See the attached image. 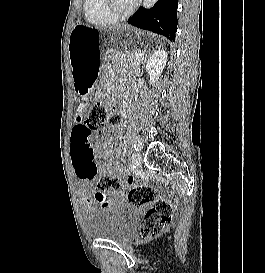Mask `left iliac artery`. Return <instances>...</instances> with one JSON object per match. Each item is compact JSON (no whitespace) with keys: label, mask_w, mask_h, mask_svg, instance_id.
I'll use <instances>...</instances> for the list:
<instances>
[{"label":"left iliac artery","mask_w":265,"mask_h":273,"mask_svg":"<svg viewBox=\"0 0 265 273\" xmlns=\"http://www.w3.org/2000/svg\"><path fill=\"white\" fill-rule=\"evenodd\" d=\"M134 148L136 151L139 150V148H140V142L136 138H134Z\"/></svg>","instance_id":"obj_1"}]
</instances>
